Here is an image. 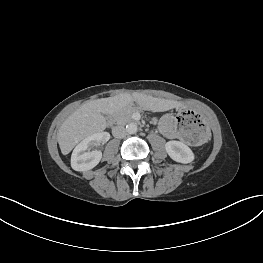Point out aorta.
Returning a JSON list of instances; mask_svg holds the SVG:
<instances>
[{
    "label": "aorta",
    "instance_id": "1",
    "mask_svg": "<svg viewBox=\"0 0 263 263\" xmlns=\"http://www.w3.org/2000/svg\"><path fill=\"white\" fill-rule=\"evenodd\" d=\"M138 130L137 124L134 122H131L126 125V132L128 134H135Z\"/></svg>",
    "mask_w": 263,
    "mask_h": 263
}]
</instances>
